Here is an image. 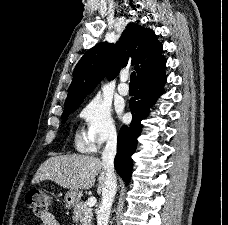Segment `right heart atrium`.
Returning a JSON list of instances; mask_svg holds the SVG:
<instances>
[{
	"instance_id": "obj_1",
	"label": "right heart atrium",
	"mask_w": 228,
	"mask_h": 225,
	"mask_svg": "<svg viewBox=\"0 0 228 225\" xmlns=\"http://www.w3.org/2000/svg\"><path fill=\"white\" fill-rule=\"evenodd\" d=\"M78 116L83 124V138L93 150L117 139L118 132L111 111L98 100L84 104Z\"/></svg>"
}]
</instances>
